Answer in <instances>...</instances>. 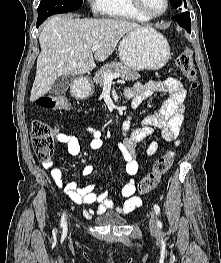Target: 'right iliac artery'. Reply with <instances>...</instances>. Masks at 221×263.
I'll list each match as a JSON object with an SVG mask.
<instances>
[{"instance_id":"1","label":"right iliac artery","mask_w":221,"mask_h":263,"mask_svg":"<svg viewBox=\"0 0 221 263\" xmlns=\"http://www.w3.org/2000/svg\"><path fill=\"white\" fill-rule=\"evenodd\" d=\"M61 227H66V220H65V215L63 214L62 220H61Z\"/></svg>"}]
</instances>
